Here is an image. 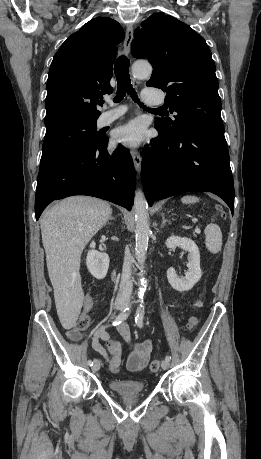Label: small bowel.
I'll return each mask as SVG.
<instances>
[{
  "instance_id": "small-bowel-1",
  "label": "small bowel",
  "mask_w": 261,
  "mask_h": 459,
  "mask_svg": "<svg viewBox=\"0 0 261 459\" xmlns=\"http://www.w3.org/2000/svg\"><path fill=\"white\" fill-rule=\"evenodd\" d=\"M93 304V295L91 292H88L83 300V314H88L92 309ZM111 325H113V323H107L100 326L93 332L91 338L92 348L98 354H100L107 361L108 364L112 361L113 357H109L107 351L102 346L101 341H106L110 339L108 329ZM116 326L119 334L131 346V352L127 358V368L132 372L143 371L149 362L150 354L152 351V342L150 340H144L142 342H133L130 327L127 323L121 322ZM68 336L73 341H79L81 339V334L76 329L70 330Z\"/></svg>"
}]
</instances>
